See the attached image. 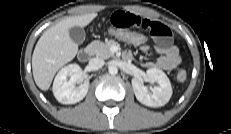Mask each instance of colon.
I'll return each mask as SVG.
<instances>
[{
  "label": "colon",
  "mask_w": 231,
  "mask_h": 134,
  "mask_svg": "<svg viewBox=\"0 0 231 134\" xmlns=\"http://www.w3.org/2000/svg\"><path fill=\"white\" fill-rule=\"evenodd\" d=\"M109 35L114 37L115 39L132 46H146L148 45V37L140 32L126 30V29H117V28H110L108 29ZM176 78L180 82H184L187 78V73L185 70H178L176 74Z\"/></svg>",
  "instance_id": "colon-1"
}]
</instances>
